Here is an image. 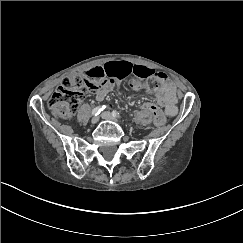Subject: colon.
<instances>
[{
  "instance_id": "colon-1",
  "label": "colon",
  "mask_w": 243,
  "mask_h": 243,
  "mask_svg": "<svg viewBox=\"0 0 243 243\" xmlns=\"http://www.w3.org/2000/svg\"><path fill=\"white\" fill-rule=\"evenodd\" d=\"M100 75H70L63 79L60 87L53 93L48 101V107L51 112L60 118L71 117L87 91L95 90L98 86ZM130 86L134 90L145 89L150 93L158 92L163 83L160 79L154 78L147 82L138 80L132 81ZM142 110L151 113L153 122L156 126H163L166 123V118L163 112L152 103H145Z\"/></svg>"
}]
</instances>
